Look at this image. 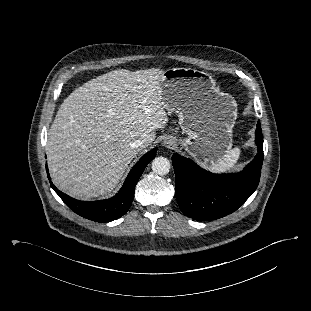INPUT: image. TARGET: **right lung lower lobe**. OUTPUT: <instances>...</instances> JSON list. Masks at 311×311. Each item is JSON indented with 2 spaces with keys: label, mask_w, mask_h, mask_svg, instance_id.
I'll list each match as a JSON object with an SVG mask.
<instances>
[{
  "label": "right lung lower lobe",
  "mask_w": 311,
  "mask_h": 311,
  "mask_svg": "<svg viewBox=\"0 0 311 311\" xmlns=\"http://www.w3.org/2000/svg\"><path fill=\"white\" fill-rule=\"evenodd\" d=\"M155 156L156 150H151L142 156L131 169L120 191L110 199L94 202L79 201L59 191L51 181L50 184L63 202L78 215L96 222H109L123 216L129 210L133 201L135 186L144 168ZM46 170L48 173L47 165ZM48 178L51 180L49 175Z\"/></svg>",
  "instance_id": "obj_1"
}]
</instances>
